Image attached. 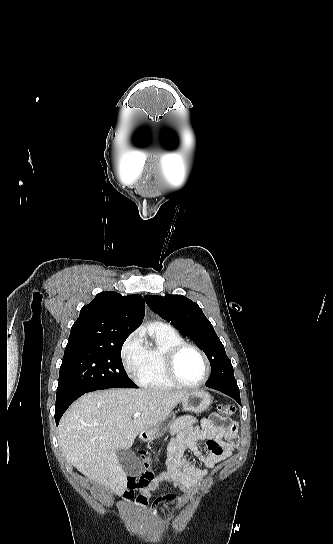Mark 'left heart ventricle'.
Listing matches in <instances>:
<instances>
[{"instance_id": "1", "label": "left heart ventricle", "mask_w": 333, "mask_h": 544, "mask_svg": "<svg viewBox=\"0 0 333 544\" xmlns=\"http://www.w3.org/2000/svg\"><path fill=\"white\" fill-rule=\"evenodd\" d=\"M177 372L185 383H198L205 376L204 361L197 352L186 350L178 359Z\"/></svg>"}]
</instances>
